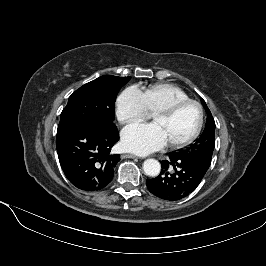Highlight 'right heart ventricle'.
I'll return each mask as SVG.
<instances>
[{
	"mask_svg": "<svg viewBox=\"0 0 266 266\" xmlns=\"http://www.w3.org/2000/svg\"><path fill=\"white\" fill-rule=\"evenodd\" d=\"M145 105L150 113L163 109L175 102L189 99L188 95L179 87L160 83L141 90Z\"/></svg>",
	"mask_w": 266,
	"mask_h": 266,
	"instance_id": "obj_1",
	"label": "right heart ventricle"
}]
</instances>
